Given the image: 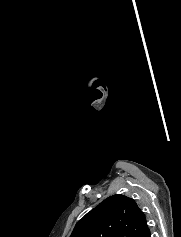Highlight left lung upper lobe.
<instances>
[{
    "mask_svg": "<svg viewBox=\"0 0 181 237\" xmlns=\"http://www.w3.org/2000/svg\"><path fill=\"white\" fill-rule=\"evenodd\" d=\"M147 227L135 200L116 194L80 219L70 237H140Z\"/></svg>",
    "mask_w": 181,
    "mask_h": 237,
    "instance_id": "left-lung-upper-lobe-1",
    "label": "left lung upper lobe"
}]
</instances>
